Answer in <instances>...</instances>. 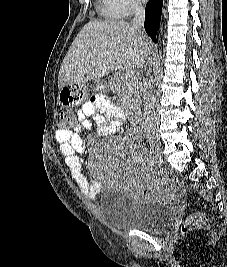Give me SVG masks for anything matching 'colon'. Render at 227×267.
Here are the masks:
<instances>
[{"label":"colon","instance_id":"colon-1","mask_svg":"<svg viewBox=\"0 0 227 267\" xmlns=\"http://www.w3.org/2000/svg\"><path fill=\"white\" fill-rule=\"evenodd\" d=\"M58 118L61 119L63 125H61V130H70V120L74 119L75 115L72 114V110H60ZM161 175L170 180V175L167 172L161 171ZM205 225V217L203 214L196 213L187 217L181 224V232L183 234L190 231L202 228Z\"/></svg>","mask_w":227,"mask_h":267}]
</instances>
